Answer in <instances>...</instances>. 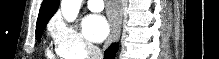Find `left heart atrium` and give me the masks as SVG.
<instances>
[{"label": "left heart atrium", "instance_id": "39dd6f15", "mask_svg": "<svg viewBox=\"0 0 219 59\" xmlns=\"http://www.w3.org/2000/svg\"><path fill=\"white\" fill-rule=\"evenodd\" d=\"M82 28L86 38L96 43L103 41L109 33L106 18L98 14L86 16L82 22Z\"/></svg>", "mask_w": 219, "mask_h": 59}]
</instances>
